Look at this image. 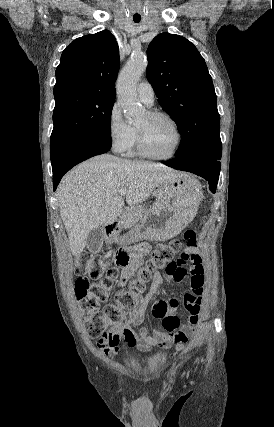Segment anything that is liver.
<instances>
[{
	"label": "liver",
	"mask_w": 274,
	"mask_h": 427,
	"mask_svg": "<svg viewBox=\"0 0 274 427\" xmlns=\"http://www.w3.org/2000/svg\"><path fill=\"white\" fill-rule=\"evenodd\" d=\"M182 174L159 164L131 162L102 154L82 162L62 178L58 188L60 215L68 233L72 255L83 251L91 229L113 223L124 208L146 202L163 182Z\"/></svg>",
	"instance_id": "obj_1"
}]
</instances>
